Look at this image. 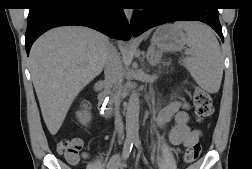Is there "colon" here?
<instances>
[{
  "label": "colon",
  "mask_w": 252,
  "mask_h": 169,
  "mask_svg": "<svg viewBox=\"0 0 252 169\" xmlns=\"http://www.w3.org/2000/svg\"><path fill=\"white\" fill-rule=\"evenodd\" d=\"M193 103L197 120L202 122L209 118L213 113V101L211 95L199 88H196L193 95ZM82 105H87V102H82ZM82 143L76 139H64L59 142L58 150L63 157L71 164H77L80 160V152ZM201 154V144L195 142L189 145L184 153L183 159L186 164L194 163Z\"/></svg>",
  "instance_id": "obj_1"
}]
</instances>
